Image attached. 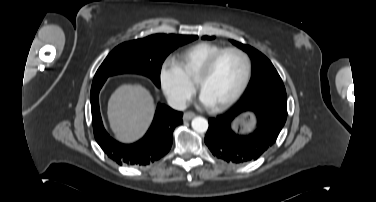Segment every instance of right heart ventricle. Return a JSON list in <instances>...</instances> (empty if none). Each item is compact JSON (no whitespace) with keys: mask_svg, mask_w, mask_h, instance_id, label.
<instances>
[{"mask_svg":"<svg viewBox=\"0 0 376 202\" xmlns=\"http://www.w3.org/2000/svg\"><path fill=\"white\" fill-rule=\"evenodd\" d=\"M223 48L216 43L200 42L176 53L173 61L184 76L193 83L206 61Z\"/></svg>","mask_w":376,"mask_h":202,"instance_id":"right-heart-ventricle-1","label":"right heart ventricle"}]
</instances>
